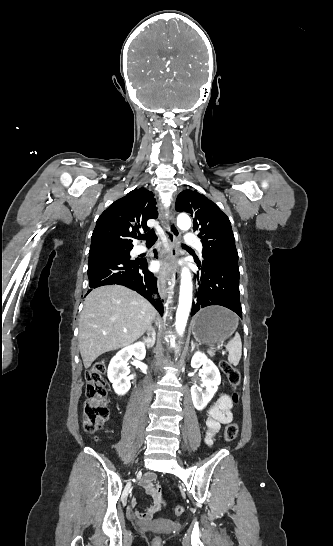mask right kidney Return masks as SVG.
Wrapping results in <instances>:
<instances>
[{"label": "right kidney", "instance_id": "ca27d5eb", "mask_svg": "<svg viewBox=\"0 0 333 546\" xmlns=\"http://www.w3.org/2000/svg\"><path fill=\"white\" fill-rule=\"evenodd\" d=\"M145 355L144 343L137 342L124 347L111 359L108 367V378L118 395L126 394L131 387V382L128 379L130 373L128 361L132 356L137 360H143Z\"/></svg>", "mask_w": 333, "mask_h": 546}]
</instances>
